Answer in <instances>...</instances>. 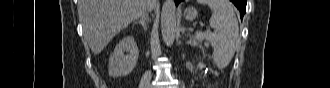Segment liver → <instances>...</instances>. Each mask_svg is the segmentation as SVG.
I'll return each mask as SVG.
<instances>
[{
	"mask_svg": "<svg viewBox=\"0 0 330 88\" xmlns=\"http://www.w3.org/2000/svg\"><path fill=\"white\" fill-rule=\"evenodd\" d=\"M156 0H80L84 38L91 51L99 54L112 38L132 21L145 15Z\"/></svg>",
	"mask_w": 330,
	"mask_h": 88,
	"instance_id": "6515ba94",
	"label": "liver"
}]
</instances>
